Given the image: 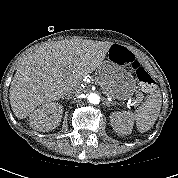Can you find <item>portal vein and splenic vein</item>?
I'll list each match as a JSON object with an SVG mask.
<instances>
[{
    "label": "portal vein and splenic vein",
    "mask_w": 178,
    "mask_h": 178,
    "mask_svg": "<svg viewBox=\"0 0 178 178\" xmlns=\"http://www.w3.org/2000/svg\"><path fill=\"white\" fill-rule=\"evenodd\" d=\"M127 104L130 105V106H136L137 105L136 101L131 102V100H129Z\"/></svg>",
    "instance_id": "18ae733b"
}]
</instances>
